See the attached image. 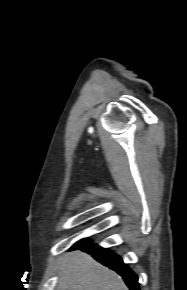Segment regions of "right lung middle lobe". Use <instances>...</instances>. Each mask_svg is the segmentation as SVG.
Listing matches in <instances>:
<instances>
[{
	"instance_id": "dd1d6c3e",
	"label": "right lung middle lobe",
	"mask_w": 187,
	"mask_h": 290,
	"mask_svg": "<svg viewBox=\"0 0 187 290\" xmlns=\"http://www.w3.org/2000/svg\"><path fill=\"white\" fill-rule=\"evenodd\" d=\"M87 242H89V240L88 239H84V240L79 241L75 245H78V244H81V243H87Z\"/></svg>"
}]
</instances>
